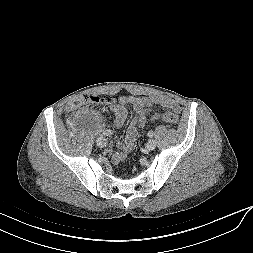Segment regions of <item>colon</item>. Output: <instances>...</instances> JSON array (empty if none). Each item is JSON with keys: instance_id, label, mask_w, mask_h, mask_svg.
<instances>
[{"instance_id": "5ec220e1", "label": "colon", "mask_w": 253, "mask_h": 253, "mask_svg": "<svg viewBox=\"0 0 253 253\" xmlns=\"http://www.w3.org/2000/svg\"><path fill=\"white\" fill-rule=\"evenodd\" d=\"M109 101L107 99H104L99 96L94 95H83L80 97H77L72 102H70L67 106V109L69 112H77L79 110H82L87 105H99V104H105ZM164 120L171 123V124H177L179 122V116L175 113H168L164 116Z\"/></svg>"}]
</instances>
